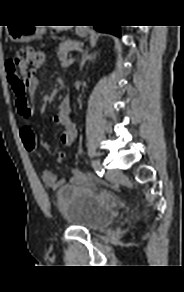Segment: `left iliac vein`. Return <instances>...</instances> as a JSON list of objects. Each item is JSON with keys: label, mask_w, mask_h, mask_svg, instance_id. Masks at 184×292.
I'll return each instance as SVG.
<instances>
[{"label": "left iliac vein", "mask_w": 184, "mask_h": 292, "mask_svg": "<svg viewBox=\"0 0 184 292\" xmlns=\"http://www.w3.org/2000/svg\"><path fill=\"white\" fill-rule=\"evenodd\" d=\"M105 175H106L107 179L113 180V179H116L117 177H119L120 172L117 169H112V170H108Z\"/></svg>", "instance_id": "1"}]
</instances>
